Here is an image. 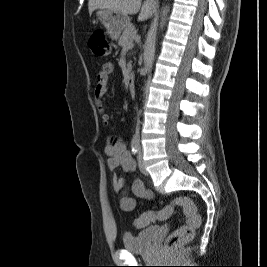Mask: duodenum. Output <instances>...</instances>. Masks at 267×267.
I'll return each instance as SVG.
<instances>
[{"mask_svg":"<svg viewBox=\"0 0 267 267\" xmlns=\"http://www.w3.org/2000/svg\"><path fill=\"white\" fill-rule=\"evenodd\" d=\"M127 85L129 92L132 96L135 95V77L133 73H130L127 79Z\"/></svg>","mask_w":267,"mask_h":267,"instance_id":"410a0bca","label":"duodenum"}]
</instances>
